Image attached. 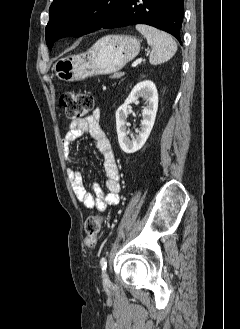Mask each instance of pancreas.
<instances>
[{
  "mask_svg": "<svg viewBox=\"0 0 240 329\" xmlns=\"http://www.w3.org/2000/svg\"><path fill=\"white\" fill-rule=\"evenodd\" d=\"M123 76V73H115L113 76H112V78H117V79H119V78H121Z\"/></svg>",
  "mask_w": 240,
  "mask_h": 329,
  "instance_id": "1",
  "label": "pancreas"
}]
</instances>
